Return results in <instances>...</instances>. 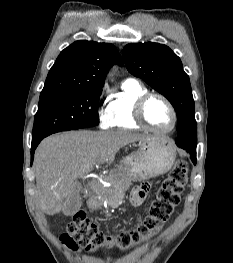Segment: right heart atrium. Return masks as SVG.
Returning a JSON list of instances; mask_svg holds the SVG:
<instances>
[{"mask_svg":"<svg viewBox=\"0 0 233 263\" xmlns=\"http://www.w3.org/2000/svg\"><path fill=\"white\" fill-rule=\"evenodd\" d=\"M106 91L103 89L98 97L97 115L99 125L102 129L112 127V116L109 108V103L105 99Z\"/></svg>","mask_w":233,"mask_h":263,"instance_id":"right-heart-atrium-1","label":"right heart atrium"}]
</instances>
